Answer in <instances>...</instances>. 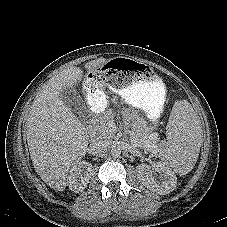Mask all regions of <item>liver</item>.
Wrapping results in <instances>:
<instances>
[{"label": "liver", "instance_id": "obj_1", "mask_svg": "<svg viewBox=\"0 0 227 227\" xmlns=\"http://www.w3.org/2000/svg\"><path fill=\"white\" fill-rule=\"evenodd\" d=\"M105 59L85 65L88 73ZM83 78V71L72 66L53 76L32 103L27 118V143L35 171L52 189L63 191L71 168L85 156L88 131L64 104L61 92Z\"/></svg>", "mask_w": 227, "mask_h": 227}]
</instances>
